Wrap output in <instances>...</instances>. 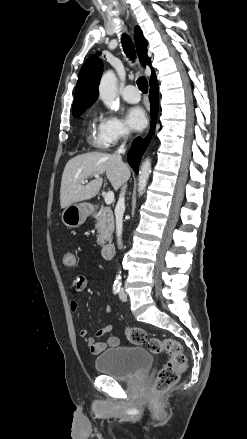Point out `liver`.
<instances>
[{
  "label": "liver",
  "mask_w": 247,
  "mask_h": 439,
  "mask_svg": "<svg viewBox=\"0 0 247 439\" xmlns=\"http://www.w3.org/2000/svg\"><path fill=\"white\" fill-rule=\"evenodd\" d=\"M106 176L114 189H118L130 177L128 166L115 154L90 152L70 159L63 171L60 188V205L64 209L76 202L89 200L99 192L103 178L99 177L86 185L82 181L93 175Z\"/></svg>",
  "instance_id": "obj_1"
}]
</instances>
